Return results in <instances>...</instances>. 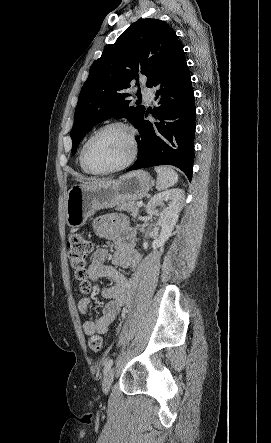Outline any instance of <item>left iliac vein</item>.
<instances>
[{"instance_id": "4c4485c4", "label": "left iliac vein", "mask_w": 271, "mask_h": 443, "mask_svg": "<svg viewBox=\"0 0 271 443\" xmlns=\"http://www.w3.org/2000/svg\"><path fill=\"white\" fill-rule=\"evenodd\" d=\"M113 380H114V370L111 369L105 374L102 382V390L105 394L109 392Z\"/></svg>"}]
</instances>
